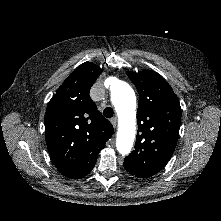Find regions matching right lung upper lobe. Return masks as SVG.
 <instances>
[{
  "label": "right lung upper lobe",
  "mask_w": 221,
  "mask_h": 221,
  "mask_svg": "<svg viewBox=\"0 0 221 221\" xmlns=\"http://www.w3.org/2000/svg\"><path fill=\"white\" fill-rule=\"evenodd\" d=\"M102 69L90 62L78 66L59 87L45 113V137L56 168L68 178L93 169L98 153L114 133L89 92Z\"/></svg>",
  "instance_id": "obj_1"
}]
</instances>
